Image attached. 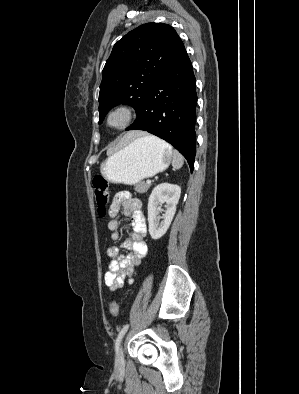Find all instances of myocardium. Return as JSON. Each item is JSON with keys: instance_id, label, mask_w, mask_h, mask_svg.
<instances>
[{"instance_id": "obj_1", "label": "myocardium", "mask_w": 299, "mask_h": 394, "mask_svg": "<svg viewBox=\"0 0 299 394\" xmlns=\"http://www.w3.org/2000/svg\"><path fill=\"white\" fill-rule=\"evenodd\" d=\"M115 116H120L121 121L117 124H112V119ZM134 117L135 112L133 107L126 103H120L108 111L106 125L111 130L122 131L132 124Z\"/></svg>"}]
</instances>
